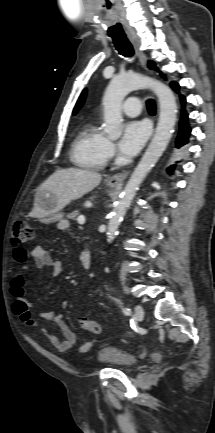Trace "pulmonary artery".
<instances>
[{
	"mask_svg": "<svg viewBox=\"0 0 215 433\" xmlns=\"http://www.w3.org/2000/svg\"><path fill=\"white\" fill-rule=\"evenodd\" d=\"M141 103L137 97L128 98L122 105V110L126 115L136 116L140 113Z\"/></svg>",
	"mask_w": 215,
	"mask_h": 433,
	"instance_id": "e3ab8cb5",
	"label": "pulmonary artery"
}]
</instances>
